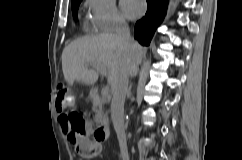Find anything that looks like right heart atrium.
I'll use <instances>...</instances> for the list:
<instances>
[{"instance_id": "right-heart-atrium-1", "label": "right heart atrium", "mask_w": 242, "mask_h": 160, "mask_svg": "<svg viewBox=\"0 0 242 160\" xmlns=\"http://www.w3.org/2000/svg\"><path fill=\"white\" fill-rule=\"evenodd\" d=\"M92 29L98 33H109L126 26V20L115 0H87Z\"/></svg>"}]
</instances>
